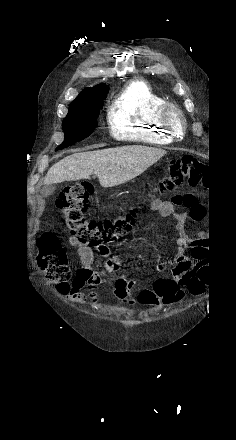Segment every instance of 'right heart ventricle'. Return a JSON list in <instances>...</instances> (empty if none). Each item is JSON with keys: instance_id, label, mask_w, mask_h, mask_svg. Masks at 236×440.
I'll return each instance as SVG.
<instances>
[{"instance_id": "1", "label": "right heart ventricle", "mask_w": 236, "mask_h": 440, "mask_svg": "<svg viewBox=\"0 0 236 440\" xmlns=\"http://www.w3.org/2000/svg\"><path fill=\"white\" fill-rule=\"evenodd\" d=\"M166 100L143 80L130 82L107 113L110 134L117 140L166 145L171 137L161 127L159 112Z\"/></svg>"}]
</instances>
